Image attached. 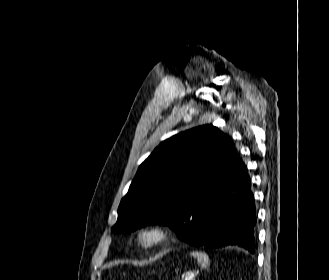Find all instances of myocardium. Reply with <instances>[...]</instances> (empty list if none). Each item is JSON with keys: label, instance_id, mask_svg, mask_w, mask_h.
<instances>
[{"label": "myocardium", "instance_id": "f54148a6", "mask_svg": "<svg viewBox=\"0 0 329 280\" xmlns=\"http://www.w3.org/2000/svg\"><path fill=\"white\" fill-rule=\"evenodd\" d=\"M169 230L161 223H149L138 227L134 232L137 248L149 250L164 245L169 240Z\"/></svg>", "mask_w": 329, "mask_h": 280}]
</instances>
